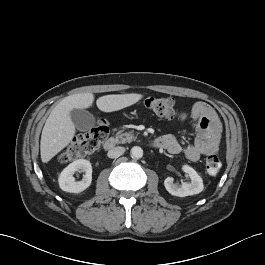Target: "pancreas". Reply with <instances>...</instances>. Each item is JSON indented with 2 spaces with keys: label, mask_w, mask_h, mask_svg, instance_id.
<instances>
[{
  "label": "pancreas",
  "mask_w": 265,
  "mask_h": 265,
  "mask_svg": "<svg viewBox=\"0 0 265 265\" xmlns=\"http://www.w3.org/2000/svg\"><path fill=\"white\" fill-rule=\"evenodd\" d=\"M137 139L136 136H134L131 132H125L122 133L121 131L116 134V143L118 144H124V143H130L132 141H135Z\"/></svg>",
  "instance_id": "obj_1"
}]
</instances>
